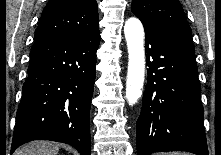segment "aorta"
<instances>
[{
  "instance_id": "1",
  "label": "aorta",
  "mask_w": 221,
  "mask_h": 155,
  "mask_svg": "<svg viewBox=\"0 0 221 155\" xmlns=\"http://www.w3.org/2000/svg\"><path fill=\"white\" fill-rule=\"evenodd\" d=\"M128 48L126 99L135 104L142 94L145 75L144 29L137 18H129L124 26Z\"/></svg>"
}]
</instances>
